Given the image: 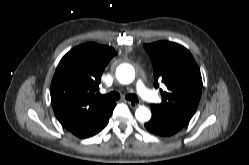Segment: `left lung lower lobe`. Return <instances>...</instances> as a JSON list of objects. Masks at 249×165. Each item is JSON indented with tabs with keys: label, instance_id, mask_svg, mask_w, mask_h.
Wrapping results in <instances>:
<instances>
[{
	"label": "left lung lower lobe",
	"instance_id": "obj_1",
	"mask_svg": "<svg viewBox=\"0 0 249 165\" xmlns=\"http://www.w3.org/2000/svg\"><path fill=\"white\" fill-rule=\"evenodd\" d=\"M152 118L145 124L146 129L156 135L167 137L174 135L184 128L190 117L161 108L159 105L151 104Z\"/></svg>",
	"mask_w": 249,
	"mask_h": 165
}]
</instances>
